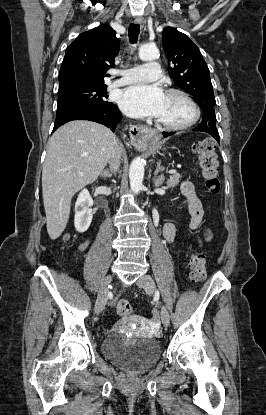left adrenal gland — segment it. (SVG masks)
I'll list each match as a JSON object with an SVG mask.
<instances>
[{"label":"left adrenal gland","instance_id":"a2214340","mask_svg":"<svg viewBox=\"0 0 266 415\" xmlns=\"http://www.w3.org/2000/svg\"><path fill=\"white\" fill-rule=\"evenodd\" d=\"M164 168L161 167V161L157 162V167L154 172L153 182L156 187L160 186L164 181V176L162 174ZM161 172V175L158 176V173Z\"/></svg>","mask_w":266,"mask_h":415}]
</instances>
